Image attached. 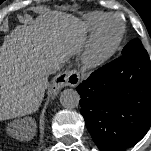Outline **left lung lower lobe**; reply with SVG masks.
Segmentation results:
<instances>
[{
    "instance_id": "0a47b994",
    "label": "left lung lower lobe",
    "mask_w": 151,
    "mask_h": 151,
    "mask_svg": "<svg viewBox=\"0 0 151 151\" xmlns=\"http://www.w3.org/2000/svg\"><path fill=\"white\" fill-rule=\"evenodd\" d=\"M76 90L86 127L101 151H123L149 130L151 62L145 49L104 65Z\"/></svg>"
}]
</instances>
